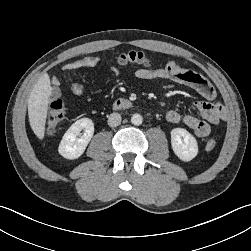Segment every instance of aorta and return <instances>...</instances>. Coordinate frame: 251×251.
<instances>
[{
  "mask_svg": "<svg viewBox=\"0 0 251 251\" xmlns=\"http://www.w3.org/2000/svg\"><path fill=\"white\" fill-rule=\"evenodd\" d=\"M143 122V118L140 114H133L131 117V123L133 125L139 126Z\"/></svg>",
  "mask_w": 251,
  "mask_h": 251,
  "instance_id": "aorta-1",
  "label": "aorta"
}]
</instances>
